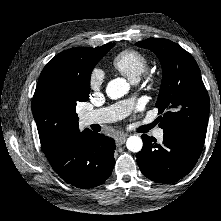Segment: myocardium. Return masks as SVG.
<instances>
[{
	"mask_svg": "<svg viewBox=\"0 0 221 221\" xmlns=\"http://www.w3.org/2000/svg\"><path fill=\"white\" fill-rule=\"evenodd\" d=\"M145 78L149 82L152 79V76L149 73H146Z\"/></svg>",
	"mask_w": 221,
	"mask_h": 221,
	"instance_id": "myocardium-1",
	"label": "myocardium"
}]
</instances>
